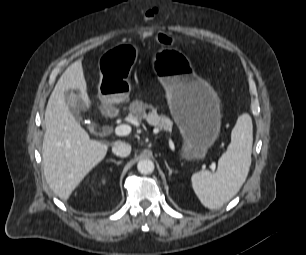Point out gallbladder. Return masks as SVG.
Wrapping results in <instances>:
<instances>
[{
  "label": "gallbladder",
  "instance_id": "1",
  "mask_svg": "<svg viewBox=\"0 0 306 255\" xmlns=\"http://www.w3.org/2000/svg\"><path fill=\"white\" fill-rule=\"evenodd\" d=\"M65 100H66L68 108H69L70 112L72 113V115L74 116V118L76 120H80L79 112L82 111V110H85V107L82 104V102L80 101V99L77 97L76 94L68 91V92L65 93Z\"/></svg>",
  "mask_w": 306,
  "mask_h": 255
}]
</instances>
